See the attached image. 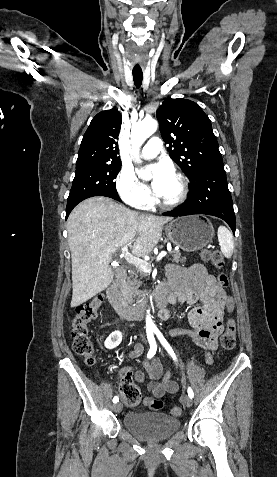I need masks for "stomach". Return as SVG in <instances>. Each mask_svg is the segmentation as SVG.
Wrapping results in <instances>:
<instances>
[{"mask_svg":"<svg viewBox=\"0 0 277 477\" xmlns=\"http://www.w3.org/2000/svg\"><path fill=\"white\" fill-rule=\"evenodd\" d=\"M165 233L183 251L194 252L212 242L214 228L205 217L185 216L171 220L165 227Z\"/></svg>","mask_w":277,"mask_h":477,"instance_id":"0dacf381","label":"stomach"}]
</instances>
